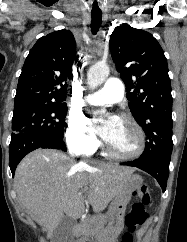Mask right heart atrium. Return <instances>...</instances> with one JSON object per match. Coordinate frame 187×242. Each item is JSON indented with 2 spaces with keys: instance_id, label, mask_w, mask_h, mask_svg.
<instances>
[{
  "instance_id": "obj_1",
  "label": "right heart atrium",
  "mask_w": 187,
  "mask_h": 242,
  "mask_svg": "<svg viewBox=\"0 0 187 242\" xmlns=\"http://www.w3.org/2000/svg\"><path fill=\"white\" fill-rule=\"evenodd\" d=\"M66 142L71 151L81 155L92 154L99 146L88 119L82 113L70 114Z\"/></svg>"
}]
</instances>
